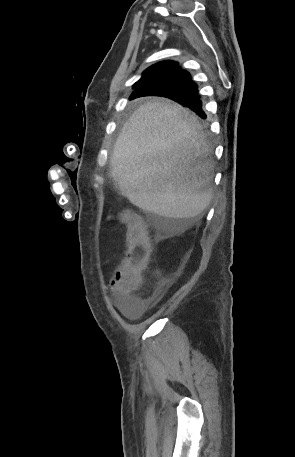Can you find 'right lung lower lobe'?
<instances>
[{"label": "right lung lower lobe", "mask_w": 295, "mask_h": 457, "mask_svg": "<svg viewBox=\"0 0 295 457\" xmlns=\"http://www.w3.org/2000/svg\"><path fill=\"white\" fill-rule=\"evenodd\" d=\"M173 89L174 95L168 97L191 108L200 117L206 118L205 113L202 111V103L199 99L197 85L191 80L190 74L183 70L175 79L150 85L138 89L132 93L130 99L141 96L156 95L157 90ZM159 96V95H157Z\"/></svg>", "instance_id": "1"}]
</instances>
